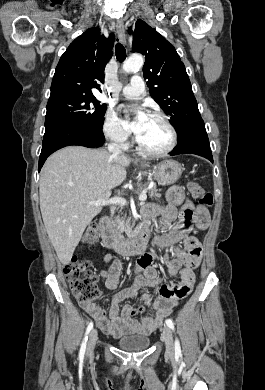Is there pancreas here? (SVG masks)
Wrapping results in <instances>:
<instances>
[{"label":"pancreas","instance_id":"pancreas-1","mask_svg":"<svg viewBox=\"0 0 265 390\" xmlns=\"http://www.w3.org/2000/svg\"><path fill=\"white\" fill-rule=\"evenodd\" d=\"M158 189L154 186L150 191L149 195L151 197H158L159 194L157 193ZM111 226L118 230L119 233H129L130 231V221L127 220L125 217L116 216L112 222Z\"/></svg>","mask_w":265,"mask_h":390}]
</instances>
